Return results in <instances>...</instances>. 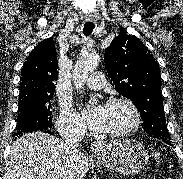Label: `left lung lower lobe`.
<instances>
[{
  "label": "left lung lower lobe",
  "mask_w": 183,
  "mask_h": 179,
  "mask_svg": "<svg viewBox=\"0 0 183 179\" xmlns=\"http://www.w3.org/2000/svg\"><path fill=\"white\" fill-rule=\"evenodd\" d=\"M164 142H166L167 144H169V145H171V146H172V144H171V141H170V140H166V141H164Z\"/></svg>",
  "instance_id": "left-lung-lower-lobe-1"
}]
</instances>
